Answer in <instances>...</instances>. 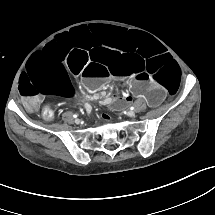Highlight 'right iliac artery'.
Masks as SVG:
<instances>
[{"instance_id": "1", "label": "right iliac artery", "mask_w": 215, "mask_h": 215, "mask_svg": "<svg viewBox=\"0 0 215 215\" xmlns=\"http://www.w3.org/2000/svg\"><path fill=\"white\" fill-rule=\"evenodd\" d=\"M73 117H74V118H76V117H77V115H76V114H74V115H73Z\"/></svg>"}]
</instances>
